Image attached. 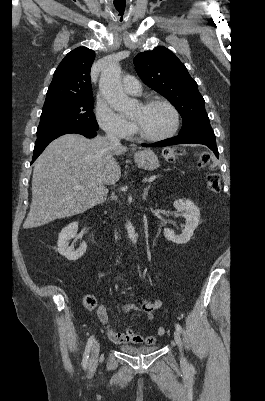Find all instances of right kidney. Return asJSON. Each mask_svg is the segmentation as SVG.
I'll use <instances>...</instances> for the list:
<instances>
[{
    "label": "right kidney",
    "mask_w": 265,
    "mask_h": 401,
    "mask_svg": "<svg viewBox=\"0 0 265 401\" xmlns=\"http://www.w3.org/2000/svg\"><path fill=\"white\" fill-rule=\"evenodd\" d=\"M78 223H70L68 227L62 229L58 237V253L66 257L68 261H77L80 259L84 253H86L87 245L86 243H81L77 251H72L71 247H68L70 239H73L77 235Z\"/></svg>",
    "instance_id": "1"
}]
</instances>
